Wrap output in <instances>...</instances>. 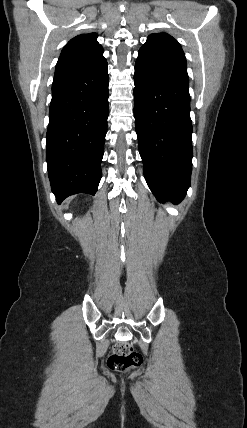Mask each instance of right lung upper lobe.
Masks as SVG:
<instances>
[{
  "mask_svg": "<svg viewBox=\"0 0 247 428\" xmlns=\"http://www.w3.org/2000/svg\"><path fill=\"white\" fill-rule=\"evenodd\" d=\"M103 54L97 34H81L72 38L63 48L56 64L55 74L87 66Z\"/></svg>",
  "mask_w": 247,
  "mask_h": 428,
  "instance_id": "right-lung-upper-lobe-1",
  "label": "right lung upper lobe"
}]
</instances>
